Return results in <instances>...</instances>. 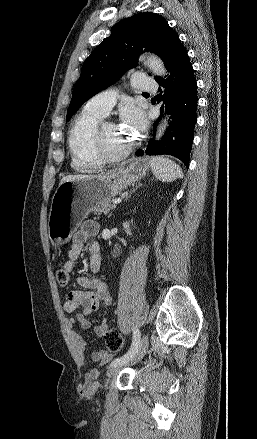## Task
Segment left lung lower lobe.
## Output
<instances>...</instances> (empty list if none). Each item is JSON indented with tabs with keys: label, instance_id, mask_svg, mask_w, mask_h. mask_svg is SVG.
<instances>
[{
	"label": "left lung lower lobe",
	"instance_id": "left-lung-lower-lobe-1",
	"mask_svg": "<svg viewBox=\"0 0 257 439\" xmlns=\"http://www.w3.org/2000/svg\"><path fill=\"white\" fill-rule=\"evenodd\" d=\"M165 66L169 72L165 76L167 79L155 77V80L161 86L158 91L165 104V113L171 114L172 121L161 140H150L147 148L137 150L135 155H172L188 167L197 122L198 97L194 71L179 38L174 41ZM160 110L161 116L153 124L154 132L163 115L164 105Z\"/></svg>",
	"mask_w": 257,
	"mask_h": 439
}]
</instances>
